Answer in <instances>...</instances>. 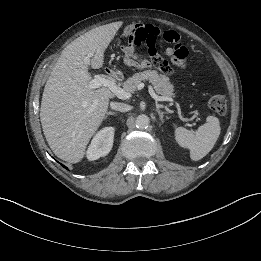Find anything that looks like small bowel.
I'll return each mask as SVG.
<instances>
[{
  "instance_id": "c3829d8e",
  "label": "small bowel",
  "mask_w": 261,
  "mask_h": 261,
  "mask_svg": "<svg viewBox=\"0 0 261 261\" xmlns=\"http://www.w3.org/2000/svg\"><path fill=\"white\" fill-rule=\"evenodd\" d=\"M182 47L184 48V52H185L184 56L178 55L176 53L175 48L168 47L166 49V54L170 57L171 63L175 67H179V68L185 66V60H186V57L188 55L187 48L183 45H182ZM122 52H123L124 61L127 65L134 66V67H137V68H148V67H150V62L147 59L139 56L135 52V47H134L133 42L129 41L128 44L124 45L122 47Z\"/></svg>"
}]
</instances>
